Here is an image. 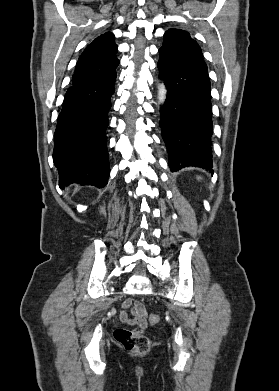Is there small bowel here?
Wrapping results in <instances>:
<instances>
[{
	"instance_id": "1",
	"label": "small bowel",
	"mask_w": 279,
	"mask_h": 391,
	"mask_svg": "<svg viewBox=\"0 0 279 391\" xmlns=\"http://www.w3.org/2000/svg\"><path fill=\"white\" fill-rule=\"evenodd\" d=\"M123 310L120 312V319L122 322L131 326L146 327V311L141 303L126 299L122 304ZM126 309L131 310L132 317H129Z\"/></svg>"
}]
</instances>
